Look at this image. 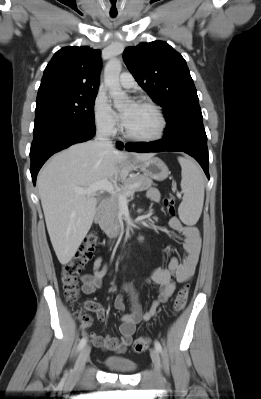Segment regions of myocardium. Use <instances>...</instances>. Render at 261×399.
Here are the masks:
<instances>
[{"instance_id":"1","label":"myocardium","mask_w":261,"mask_h":399,"mask_svg":"<svg viewBox=\"0 0 261 399\" xmlns=\"http://www.w3.org/2000/svg\"><path fill=\"white\" fill-rule=\"evenodd\" d=\"M139 104L146 106L155 112V114L157 115V117L159 119V128L152 135L138 136V135H134L131 132H129V130L125 126V123H123L124 136L126 138H128L132 141H136V142H154V141L160 140L164 136V134L167 130V125H168L167 118H166L164 112L157 104H155L154 102L149 101V100H141V101H139Z\"/></svg>"}]
</instances>
